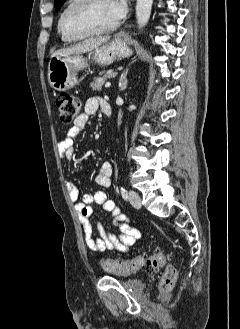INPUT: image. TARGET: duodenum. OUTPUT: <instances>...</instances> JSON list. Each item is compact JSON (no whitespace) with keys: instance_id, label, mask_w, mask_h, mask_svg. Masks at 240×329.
Wrapping results in <instances>:
<instances>
[{"instance_id":"obj_1","label":"duodenum","mask_w":240,"mask_h":329,"mask_svg":"<svg viewBox=\"0 0 240 329\" xmlns=\"http://www.w3.org/2000/svg\"><path fill=\"white\" fill-rule=\"evenodd\" d=\"M102 111L108 117H110L112 115V108H111V105L109 104V102H107L105 100L103 101Z\"/></svg>"}]
</instances>
